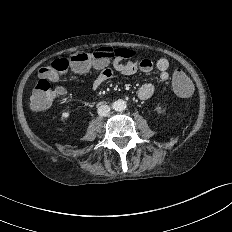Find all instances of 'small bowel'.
I'll return each mask as SVG.
<instances>
[{
  "label": "small bowel",
  "instance_id": "c3829d8e",
  "mask_svg": "<svg viewBox=\"0 0 232 232\" xmlns=\"http://www.w3.org/2000/svg\"><path fill=\"white\" fill-rule=\"evenodd\" d=\"M111 61V66L109 62ZM108 62L94 65L96 69L101 70L100 74L93 80L92 89H99L107 80L115 74L122 76H130L137 72L149 73L157 70L159 79L165 82L169 79V62L165 58H160L156 61L149 58L125 61L120 57H115ZM85 72V71H84ZM83 73V72H82ZM155 87L152 83H144L140 86L137 96L140 100L150 98L154 93Z\"/></svg>",
  "mask_w": 232,
  "mask_h": 232
}]
</instances>
